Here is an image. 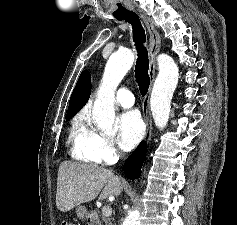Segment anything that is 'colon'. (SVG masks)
Listing matches in <instances>:
<instances>
[{
  "instance_id": "5ec220e1",
  "label": "colon",
  "mask_w": 237,
  "mask_h": 225,
  "mask_svg": "<svg viewBox=\"0 0 237 225\" xmlns=\"http://www.w3.org/2000/svg\"><path fill=\"white\" fill-rule=\"evenodd\" d=\"M61 225H75L74 223H70V222H67V221H63L61 223Z\"/></svg>"
}]
</instances>
